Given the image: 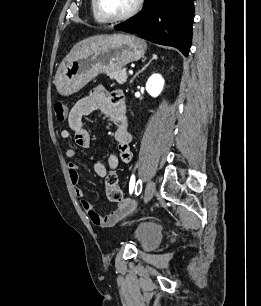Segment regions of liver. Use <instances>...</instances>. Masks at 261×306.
Returning <instances> with one entry per match:
<instances>
[{
    "label": "liver",
    "mask_w": 261,
    "mask_h": 306,
    "mask_svg": "<svg viewBox=\"0 0 261 306\" xmlns=\"http://www.w3.org/2000/svg\"><path fill=\"white\" fill-rule=\"evenodd\" d=\"M106 37V35H96V36H92L89 38H86L80 42H78L76 45H74V47L71 49L70 53L67 55L66 58H69L71 56H73L77 51H79L82 47H85L89 44L94 43L95 41H98L102 38Z\"/></svg>",
    "instance_id": "1"
}]
</instances>
